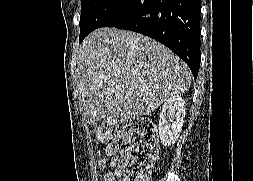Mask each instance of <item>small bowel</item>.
I'll return each instance as SVG.
<instances>
[{"label": "small bowel", "mask_w": 253, "mask_h": 181, "mask_svg": "<svg viewBox=\"0 0 253 181\" xmlns=\"http://www.w3.org/2000/svg\"><path fill=\"white\" fill-rule=\"evenodd\" d=\"M115 153V148L114 150H110V149H106L102 154L100 153L99 155L102 157V159L100 160V165H105L106 161L108 159H110V162L112 164L116 163V158L113 156V154Z\"/></svg>", "instance_id": "small-bowel-1"}]
</instances>
